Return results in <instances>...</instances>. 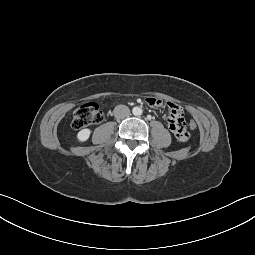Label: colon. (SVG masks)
I'll return each mask as SVG.
<instances>
[{
	"label": "colon",
	"mask_w": 255,
	"mask_h": 255,
	"mask_svg": "<svg viewBox=\"0 0 255 255\" xmlns=\"http://www.w3.org/2000/svg\"><path fill=\"white\" fill-rule=\"evenodd\" d=\"M103 121V113L100 110L99 106L93 102H87L79 105L74 113L72 126L75 129H81L91 124H98ZM188 130V129H187ZM189 130H196V121H189Z\"/></svg>",
	"instance_id": "5ec220e1"
}]
</instances>
